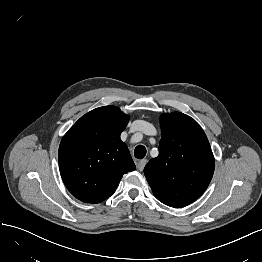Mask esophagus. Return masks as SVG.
<instances>
[{"mask_svg": "<svg viewBox=\"0 0 262 262\" xmlns=\"http://www.w3.org/2000/svg\"><path fill=\"white\" fill-rule=\"evenodd\" d=\"M146 163H147L146 160H140V161L137 163V169H138L139 171H143Z\"/></svg>", "mask_w": 262, "mask_h": 262, "instance_id": "esophagus-1", "label": "esophagus"}]
</instances>
